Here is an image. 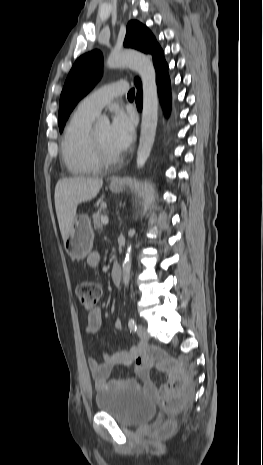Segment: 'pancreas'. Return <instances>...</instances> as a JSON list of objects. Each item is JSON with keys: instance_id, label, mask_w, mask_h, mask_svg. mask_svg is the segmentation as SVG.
I'll return each instance as SVG.
<instances>
[{"instance_id": "cf45deb5", "label": "pancreas", "mask_w": 263, "mask_h": 465, "mask_svg": "<svg viewBox=\"0 0 263 465\" xmlns=\"http://www.w3.org/2000/svg\"><path fill=\"white\" fill-rule=\"evenodd\" d=\"M93 224H94V228L95 229H102L103 228V224L101 222V218H102V215H101V211L98 210L97 212H95L93 214Z\"/></svg>"}]
</instances>
